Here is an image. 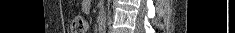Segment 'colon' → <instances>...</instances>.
<instances>
[{
    "mask_svg": "<svg viewBox=\"0 0 235 33\" xmlns=\"http://www.w3.org/2000/svg\"><path fill=\"white\" fill-rule=\"evenodd\" d=\"M69 25L71 33H86L88 30V22L82 15H74L70 19Z\"/></svg>",
    "mask_w": 235,
    "mask_h": 33,
    "instance_id": "1",
    "label": "colon"
}]
</instances>
